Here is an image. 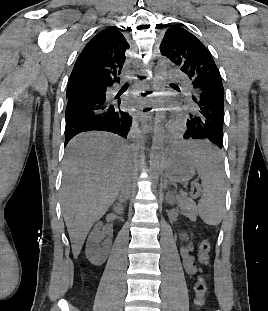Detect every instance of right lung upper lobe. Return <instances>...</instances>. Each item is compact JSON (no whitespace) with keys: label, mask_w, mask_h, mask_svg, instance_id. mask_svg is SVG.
<instances>
[{"label":"right lung upper lobe","mask_w":268,"mask_h":311,"mask_svg":"<svg viewBox=\"0 0 268 311\" xmlns=\"http://www.w3.org/2000/svg\"><path fill=\"white\" fill-rule=\"evenodd\" d=\"M128 48V42L117 27L100 31L77 58L67 88L77 84L104 86L120 80Z\"/></svg>","instance_id":"1"}]
</instances>
